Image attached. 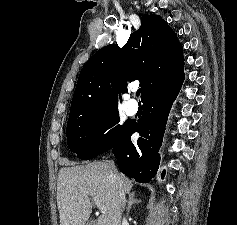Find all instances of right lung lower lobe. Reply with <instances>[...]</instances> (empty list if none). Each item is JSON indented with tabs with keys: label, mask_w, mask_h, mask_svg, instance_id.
Returning a JSON list of instances; mask_svg holds the SVG:
<instances>
[{
	"label": "right lung lower lobe",
	"mask_w": 237,
	"mask_h": 225,
	"mask_svg": "<svg viewBox=\"0 0 237 225\" xmlns=\"http://www.w3.org/2000/svg\"><path fill=\"white\" fill-rule=\"evenodd\" d=\"M183 80L166 82L151 90L143 99V116L138 122H129L110 149L119 170L137 182L148 183L157 174L165 125L171 105L177 97ZM134 132L140 133L137 143L131 141ZM162 173V178L164 177Z\"/></svg>",
	"instance_id": "1"
}]
</instances>
